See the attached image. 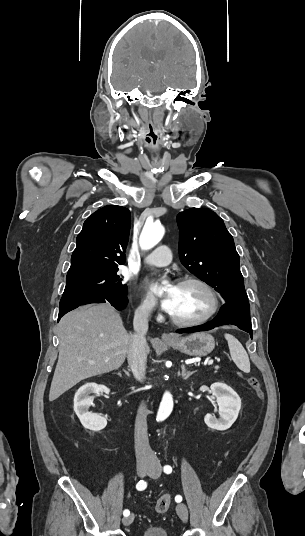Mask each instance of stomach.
Instances as JSON below:
<instances>
[{
    "instance_id": "1",
    "label": "stomach",
    "mask_w": 305,
    "mask_h": 536,
    "mask_svg": "<svg viewBox=\"0 0 305 536\" xmlns=\"http://www.w3.org/2000/svg\"><path fill=\"white\" fill-rule=\"evenodd\" d=\"M174 350H179L187 356H207L215 348V340L208 332H197L186 338H176L166 342Z\"/></svg>"
}]
</instances>
